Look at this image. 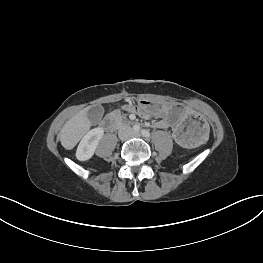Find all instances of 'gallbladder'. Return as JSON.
<instances>
[{
  "label": "gallbladder",
  "mask_w": 263,
  "mask_h": 263,
  "mask_svg": "<svg viewBox=\"0 0 263 263\" xmlns=\"http://www.w3.org/2000/svg\"><path fill=\"white\" fill-rule=\"evenodd\" d=\"M103 113H104V109L102 106L100 105H96L91 107L88 112H87V116L91 122V124H98L100 122V120L103 117Z\"/></svg>",
  "instance_id": "bac80fb5"
}]
</instances>
